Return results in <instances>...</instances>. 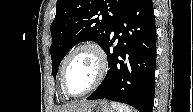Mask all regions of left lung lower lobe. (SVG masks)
Wrapping results in <instances>:
<instances>
[{"label":"left lung lower lobe","mask_w":193,"mask_h":112,"mask_svg":"<svg viewBox=\"0 0 193 112\" xmlns=\"http://www.w3.org/2000/svg\"><path fill=\"white\" fill-rule=\"evenodd\" d=\"M152 0H133L115 23L103 48L109 70L87 99H109L152 112L155 90L156 28ZM121 34V36H119ZM118 43L110 52L115 39Z\"/></svg>","instance_id":"0a47b994"}]
</instances>
